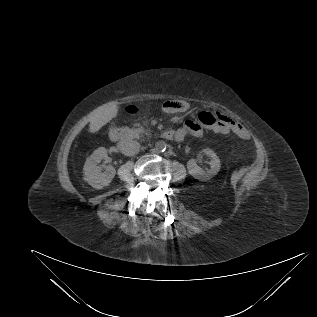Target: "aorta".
<instances>
[{
	"instance_id": "aorta-1",
	"label": "aorta",
	"mask_w": 317,
	"mask_h": 317,
	"mask_svg": "<svg viewBox=\"0 0 317 317\" xmlns=\"http://www.w3.org/2000/svg\"><path fill=\"white\" fill-rule=\"evenodd\" d=\"M165 147H166V144H165L163 141H158V142H156V144H155V148H156V150H158V151H163V150H165Z\"/></svg>"
}]
</instances>
